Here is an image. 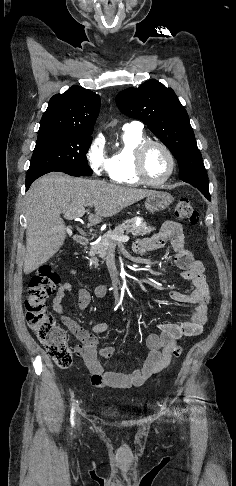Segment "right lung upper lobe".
<instances>
[{
	"mask_svg": "<svg viewBox=\"0 0 236 486\" xmlns=\"http://www.w3.org/2000/svg\"><path fill=\"white\" fill-rule=\"evenodd\" d=\"M100 109V97L74 85L63 94H55L40 121L39 131L60 130L92 134Z\"/></svg>",
	"mask_w": 236,
	"mask_h": 486,
	"instance_id": "cb5924a9",
	"label": "right lung upper lobe"
}]
</instances>
